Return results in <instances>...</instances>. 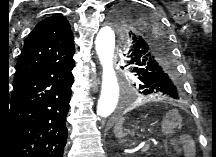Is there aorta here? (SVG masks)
Masks as SVG:
<instances>
[{
  "mask_svg": "<svg viewBox=\"0 0 216 157\" xmlns=\"http://www.w3.org/2000/svg\"><path fill=\"white\" fill-rule=\"evenodd\" d=\"M95 46L103 70L101 95L96 112L98 116L106 118L115 111L119 99V85L113 67L115 34L111 27L100 29Z\"/></svg>",
  "mask_w": 216,
  "mask_h": 157,
  "instance_id": "aorta-1",
  "label": "aorta"
}]
</instances>
